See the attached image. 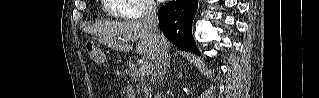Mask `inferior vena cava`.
Masks as SVG:
<instances>
[{
    "label": "inferior vena cava",
    "instance_id": "obj_1",
    "mask_svg": "<svg viewBox=\"0 0 319 98\" xmlns=\"http://www.w3.org/2000/svg\"><path fill=\"white\" fill-rule=\"evenodd\" d=\"M142 22L146 26L150 34H152L157 43L156 56H155V65L156 71L153 75V79L161 85V82L164 79L167 64H168V51L165 44V38L159 30L158 27V16H157V7L156 4L147 0L142 14ZM161 95L157 93L155 98H160Z\"/></svg>",
    "mask_w": 319,
    "mask_h": 98
}]
</instances>
